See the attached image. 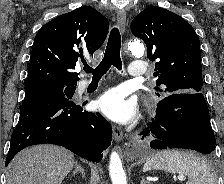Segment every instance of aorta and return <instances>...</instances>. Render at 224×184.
<instances>
[{"label": "aorta", "instance_id": "762f6f07", "mask_svg": "<svg viewBox=\"0 0 224 184\" xmlns=\"http://www.w3.org/2000/svg\"><path fill=\"white\" fill-rule=\"evenodd\" d=\"M128 49L133 54H142L144 52V45L139 40L134 39L128 43ZM109 171L112 184H127L121 159L115 151H113L110 156Z\"/></svg>", "mask_w": 224, "mask_h": 184}]
</instances>
